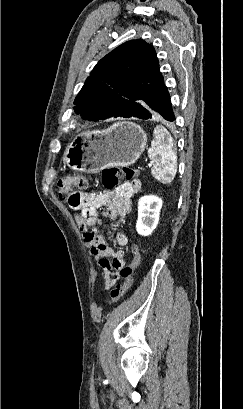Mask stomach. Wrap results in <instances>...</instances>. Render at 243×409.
I'll return each mask as SVG.
<instances>
[{
    "instance_id": "0dacf381",
    "label": "stomach",
    "mask_w": 243,
    "mask_h": 409,
    "mask_svg": "<svg viewBox=\"0 0 243 409\" xmlns=\"http://www.w3.org/2000/svg\"><path fill=\"white\" fill-rule=\"evenodd\" d=\"M147 134L132 122H117L106 130L82 133L66 148L63 161L79 172L97 173L110 166L133 165L143 153Z\"/></svg>"
}]
</instances>
